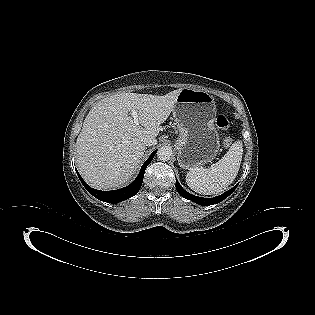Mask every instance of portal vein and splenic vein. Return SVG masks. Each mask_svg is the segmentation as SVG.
Returning a JSON list of instances; mask_svg holds the SVG:
<instances>
[{
  "instance_id": "obj_1",
  "label": "portal vein and splenic vein",
  "mask_w": 315,
  "mask_h": 315,
  "mask_svg": "<svg viewBox=\"0 0 315 315\" xmlns=\"http://www.w3.org/2000/svg\"><path fill=\"white\" fill-rule=\"evenodd\" d=\"M131 115H132V117L134 119V123L138 125L139 122H138V113H137V111L136 110H132L131 111Z\"/></svg>"
}]
</instances>
